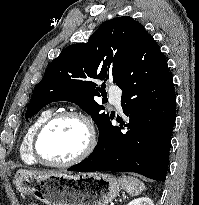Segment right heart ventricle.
Returning <instances> with one entry per match:
<instances>
[{
  "label": "right heart ventricle",
  "mask_w": 199,
  "mask_h": 205,
  "mask_svg": "<svg viewBox=\"0 0 199 205\" xmlns=\"http://www.w3.org/2000/svg\"><path fill=\"white\" fill-rule=\"evenodd\" d=\"M55 110L53 108H46L40 112V114L35 118V120L31 123V125L26 130L23 139L20 144V157L22 161L27 165H35L37 161L32 155L31 152V142L33 135L35 134L36 130L41 126L43 122H45Z\"/></svg>",
  "instance_id": "right-heart-ventricle-1"
}]
</instances>
